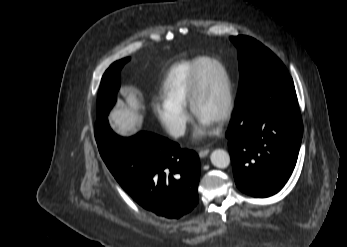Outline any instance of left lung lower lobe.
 Here are the masks:
<instances>
[{
  "label": "left lung lower lobe",
  "instance_id": "0a47b994",
  "mask_svg": "<svg viewBox=\"0 0 347 247\" xmlns=\"http://www.w3.org/2000/svg\"><path fill=\"white\" fill-rule=\"evenodd\" d=\"M302 134L290 75L259 85L236 105L226 133L237 187L254 197L280 191L296 165Z\"/></svg>",
  "mask_w": 347,
  "mask_h": 247
}]
</instances>
